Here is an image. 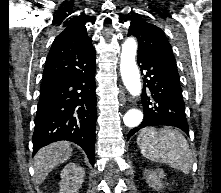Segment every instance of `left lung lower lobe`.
Here are the masks:
<instances>
[{
    "label": "left lung lower lobe",
    "mask_w": 221,
    "mask_h": 193,
    "mask_svg": "<svg viewBox=\"0 0 221 193\" xmlns=\"http://www.w3.org/2000/svg\"><path fill=\"white\" fill-rule=\"evenodd\" d=\"M137 62L144 79V118L128 133V139L147 126L169 125L188 134L182 88L177 67L138 53Z\"/></svg>",
    "instance_id": "left-lung-lower-lobe-1"
}]
</instances>
